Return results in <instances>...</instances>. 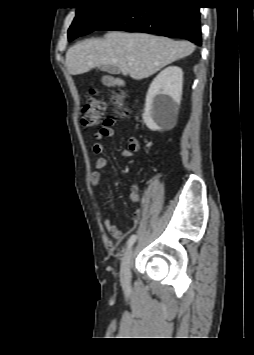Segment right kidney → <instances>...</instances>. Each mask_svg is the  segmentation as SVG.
I'll return each mask as SVG.
<instances>
[{
  "mask_svg": "<svg viewBox=\"0 0 254 355\" xmlns=\"http://www.w3.org/2000/svg\"><path fill=\"white\" fill-rule=\"evenodd\" d=\"M183 71L170 66L161 71L152 81L142 115L146 126L152 131H161L174 125L182 95Z\"/></svg>",
  "mask_w": 254,
  "mask_h": 355,
  "instance_id": "1",
  "label": "right kidney"
}]
</instances>
